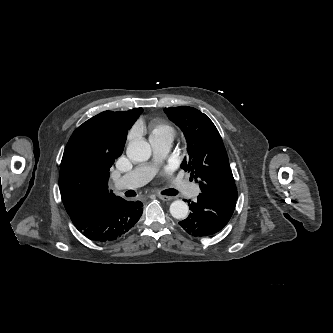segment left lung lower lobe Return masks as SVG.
<instances>
[{"label": "left lung lower lobe", "mask_w": 333, "mask_h": 333, "mask_svg": "<svg viewBox=\"0 0 333 333\" xmlns=\"http://www.w3.org/2000/svg\"><path fill=\"white\" fill-rule=\"evenodd\" d=\"M235 205L236 201H218L199 194L197 202L189 204L190 215L179 225L194 237L213 235L228 223Z\"/></svg>", "instance_id": "0a47b994"}]
</instances>
